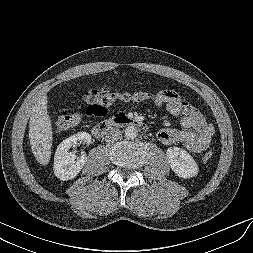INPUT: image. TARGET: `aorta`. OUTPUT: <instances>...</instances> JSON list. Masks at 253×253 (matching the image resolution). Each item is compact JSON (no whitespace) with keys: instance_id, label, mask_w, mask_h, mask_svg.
<instances>
[{"instance_id":"obj_1","label":"aorta","mask_w":253,"mask_h":253,"mask_svg":"<svg viewBox=\"0 0 253 253\" xmlns=\"http://www.w3.org/2000/svg\"><path fill=\"white\" fill-rule=\"evenodd\" d=\"M138 136V130L135 126H128L125 129V137L127 139H135Z\"/></svg>"}]
</instances>
